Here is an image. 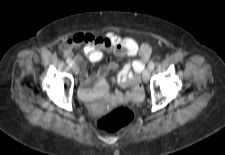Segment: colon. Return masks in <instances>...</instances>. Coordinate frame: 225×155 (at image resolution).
<instances>
[{
	"instance_id": "1",
	"label": "colon",
	"mask_w": 225,
	"mask_h": 155,
	"mask_svg": "<svg viewBox=\"0 0 225 155\" xmlns=\"http://www.w3.org/2000/svg\"><path fill=\"white\" fill-rule=\"evenodd\" d=\"M134 120V112L129 107H117L98 120L100 130L108 133L116 132L130 125Z\"/></svg>"
}]
</instances>
